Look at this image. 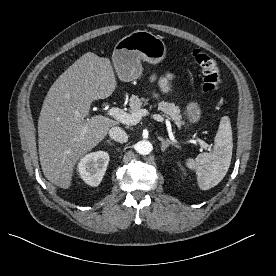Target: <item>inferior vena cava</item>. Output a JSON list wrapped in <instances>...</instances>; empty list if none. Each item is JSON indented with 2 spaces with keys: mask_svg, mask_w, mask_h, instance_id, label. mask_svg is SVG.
I'll return each mask as SVG.
<instances>
[{
  "mask_svg": "<svg viewBox=\"0 0 276 276\" xmlns=\"http://www.w3.org/2000/svg\"><path fill=\"white\" fill-rule=\"evenodd\" d=\"M109 136L111 139L119 143H125L128 140L127 133L121 127H112L109 130Z\"/></svg>",
  "mask_w": 276,
  "mask_h": 276,
  "instance_id": "inferior-vena-cava-1",
  "label": "inferior vena cava"
}]
</instances>
